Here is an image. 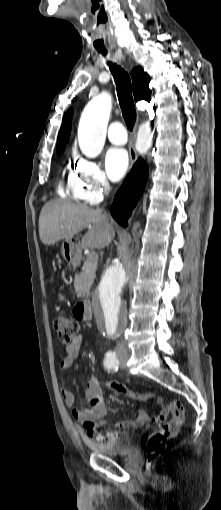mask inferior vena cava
<instances>
[{"instance_id": "obj_1", "label": "inferior vena cava", "mask_w": 221, "mask_h": 510, "mask_svg": "<svg viewBox=\"0 0 221 510\" xmlns=\"http://www.w3.org/2000/svg\"><path fill=\"white\" fill-rule=\"evenodd\" d=\"M109 191H110V187H109L108 185H107V186H105V194H106V195H108ZM97 210H98L99 212H102V209H99V208H98ZM103 217H104V219H105L106 221H108L107 215H103ZM116 350H117V351H125V350H126V349H125V345H124V342H123V341H121V342H119V343L117 344Z\"/></svg>"}]
</instances>
